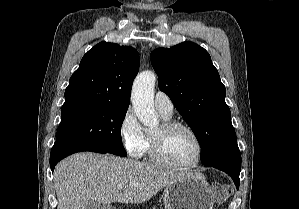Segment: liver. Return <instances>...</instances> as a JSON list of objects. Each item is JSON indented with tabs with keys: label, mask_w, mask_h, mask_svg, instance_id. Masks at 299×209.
I'll return each instance as SVG.
<instances>
[{
	"label": "liver",
	"mask_w": 299,
	"mask_h": 209,
	"mask_svg": "<svg viewBox=\"0 0 299 209\" xmlns=\"http://www.w3.org/2000/svg\"><path fill=\"white\" fill-rule=\"evenodd\" d=\"M190 173L129 158L77 153L55 167L57 209H84L91 201L104 205L142 203ZM119 185H124V189L120 190Z\"/></svg>",
	"instance_id": "1"
}]
</instances>
